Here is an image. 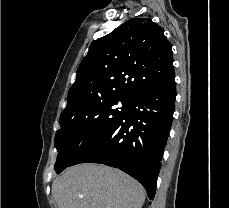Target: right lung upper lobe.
<instances>
[{"mask_svg":"<svg viewBox=\"0 0 229 208\" xmlns=\"http://www.w3.org/2000/svg\"><path fill=\"white\" fill-rule=\"evenodd\" d=\"M173 73L172 48L163 29L149 18L130 19L91 43L60 118L101 98H133Z\"/></svg>","mask_w":229,"mask_h":208,"instance_id":"1","label":"right lung upper lobe"}]
</instances>
